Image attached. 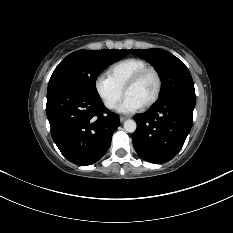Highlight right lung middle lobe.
<instances>
[{
    "mask_svg": "<svg viewBox=\"0 0 233 233\" xmlns=\"http://www.w3.org/2000/svg\"><path fill=\"white\" fill-rule=\"evenodd\" d=\"M128 54L127 50H79L68 55L54 70L48 91L70 89L99 98L95 81L107 66Z\"/></svg>",
    "mask_w": 233,
    "mask_h": 233,
    "instance_id": "obj_1",
    "label": "right lung middle lobe"
}]
</instances>
